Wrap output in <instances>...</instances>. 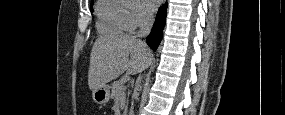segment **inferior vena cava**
Listing matches in <instances>:
<instances>
[{
	"instance_id": "602c4592",
	"label": "inferior vena cava",
	"mask_w": 285,
	"mask_h": 115,
	"mask_svg": "<svg viewBox=\"0 0 285 115\" xmlns=\"http://www.w3.org/2000/svg\"><path fill=\"white\" fill-rule=\"evenodd\" d=\"M152 24H153V17L152 16H146L141 22L140 30L137 33V37H139V38L146 37L151 31ZM138 40L141 41L140 39H138ZM138 81L139 82L141 81V75L139 76ZM137 94L141 95L142 91L138 90Z\"/></svg>"
}]
</instances>
